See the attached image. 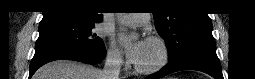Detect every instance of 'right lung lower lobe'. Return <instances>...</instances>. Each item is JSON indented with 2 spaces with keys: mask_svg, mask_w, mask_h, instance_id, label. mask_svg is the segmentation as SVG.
<instances>
[{
  "mask_svg": "<svg viewBox=\"0 0 255 79\" xmlns=\"http://www.w3.org/2000/svg\"><path fill=\"white\" fill-rule=\"evenodd\" d=\"M105 47L98 50L76 49L68 47H47L35 51V55L30 64L29 78L42 65L54 60H74L87 64L100 62L105 56Z\"/></svg>",
  "mask_w": 255,
  "mask_h": 79,
  "instance_id": "1",
  "label": "right lung lower lobe"
}]
</instances>
